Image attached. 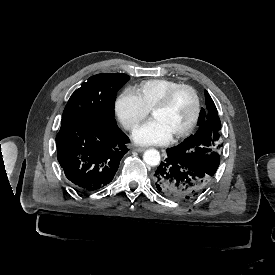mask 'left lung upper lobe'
I'll list each match as a JSON object with an SVG mask.
<instances>
[{"label": "left lung upper lobe", "mask_w": 275, "mask_h": 275, "mask_svg": "<svg viewBox=\"0 0 275 275\" xmlns=\"http://www.w3.org/2000/svg\"><path fill=\"white\" fill-rule=\"evenodd\" d=\"M206 109L202 108L197 125L200 130L186 138L170 152L186 162L212 174H215L219 164V150L222 147L221 122L216 106L205 91Z\"/></svg>", "instance_id": "left-lung-upper-lobe-1"}]
</instances>
